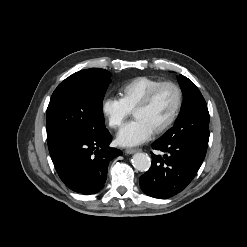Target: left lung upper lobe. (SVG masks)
I'll return each mask as SVG.
<instances>
[{"label": "left lung upper lobe", "instance_id": "obj_1", "mask_svg": "<svg viewBox=\"0 0 247 247\" xmlns=\"http://www.w3.org/2000/svg\"><path fill=\"white\" fill-rule=\"evenodd\" d=\"M184 101L176 122L159 139L177 140L191 139L208 145L209 112L199 89L187 77H178Z\"/></svg>", "mask_w": 247, "mask_h": 247}]
</instances>
